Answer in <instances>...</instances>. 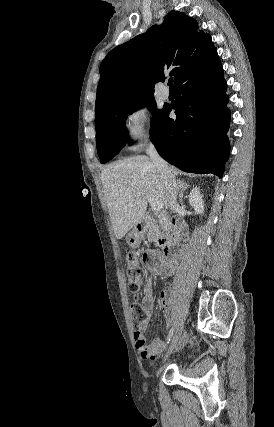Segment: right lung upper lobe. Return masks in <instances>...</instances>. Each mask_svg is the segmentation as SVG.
Wrapping results in <instances>:
<instances>
[{
	"label": "right lung upper lobe",
	"mask_w": 274,
	"mask_h": 427,
	"mask_svg": "<svg viewBox=\"0 0 274 427\" xmlns=\"http://www.w3.org/2000/svg\"><path fill=\"white\" fill-rule=\"evenodd\" d=\"M211 36L195 19L171 11L159 26L111 50L100 65L95 114L124 99L153 95L171 70L175 86L189 74L219 63Z\"/></svg>",
	"instance_id": "obj_1"
}]
</instances>
